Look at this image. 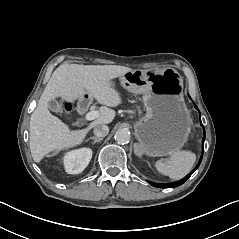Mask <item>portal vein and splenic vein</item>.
<instances>
[{
  "label": "portal vein and splenic vein",
  "instance_id": "1",
  "mask_svg": "<svg viewBox=\"0 0 239 239\" xmlns=\"http://www.w3.org/2000/svg\"><path fill=\"white\" fill-rule=\"evenodd\" d=\"M99 117V112L98 111H90L86 114L85 118L88 121L94 120Z\"/></svg>",
  "mask_w": 239,
  "mask_h": 239
}]
</instances>
